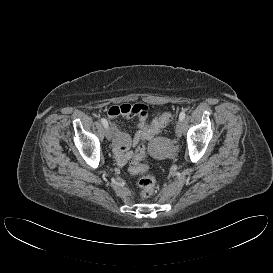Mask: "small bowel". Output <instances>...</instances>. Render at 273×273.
Wrapping results in <instances>:
<instances>
[{
  "mask_svg": "<svg viewBox=\"0 0 273 273\" xmlns=\"http://www.w3.org/2000/svg\"><path fill=\"white\" fill-rule=\"evenodd\" d=\"M149 108L142 103L137 104H121L113 105L109 107L107 113L111 119L122 117H136L137 125L134 136L131 137L128 134L122 132L116 126L113 125L114 139H113V153L114 157L119 165H124L129 159L132 158V152L129 151L131 146L138 145L144 140L143 132L144 126L148 117Z\"/></svg>",
  "mask_w": 273,
  "mask_h": 273,
  "instance_id": "1",
  "label": "small bowel"
}]
</instances>
